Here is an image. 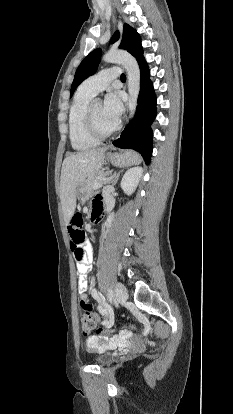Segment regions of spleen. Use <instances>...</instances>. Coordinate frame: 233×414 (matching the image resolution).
I'll list each match as a JSON object with an SVG mask.
<instances>
[{
  "label": "spleen",
  "instance_id": "3e777b00",
  "mask_svg": "<svg viewBox=\"0 0 233 414\" xmlns=\"http://www.w3.org/2000/svg\"><path fill=\"white\" fill-rule=\"evenodd\" d=\"M127 153L133 155V157H134L133 164H139L140 163V157L137 153H135L133 151H127Z\"/></svg>",
  "mask_w": 233,
  "mask_h": 414
}]
</instances>
